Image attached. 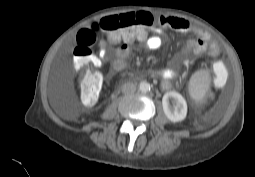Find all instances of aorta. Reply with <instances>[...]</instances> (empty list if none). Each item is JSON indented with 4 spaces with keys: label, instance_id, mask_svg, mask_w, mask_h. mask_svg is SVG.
Wrapping results in <instances>:
<instances>
[{
    "label": "aorta",
    "instance_id": "obj_1",
    "mask_svg": "<svg viewBox=\"0 0 255 177\" xmlns=\"http://www.w3.org/2000/svg\"><path fill=\"white\" fill-rule=\"evenodd\" d=\"M150 84L149 83H147V82H141L140 84H139V90L141 91V92H144V93H146V92H148V91H150Z\"/></svg>",
    "mask_w": 255,
    "mask_h": 177
}]
</instances>
